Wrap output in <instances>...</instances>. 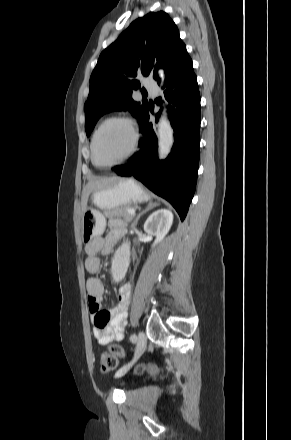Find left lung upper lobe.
Wrapping results in <instances>:
<instances>
[{"instance_id":"1","label":"left lung upper lobe","mask_w":291,"mask_h":440,"mask_svg":"<svg viewBox=\"0 0 291 440\" xmlns=\"http://www.w3.org/2000/svg\"><path fill=\"white\" fill-rule=\"evenodd\" d=\"M186 52L178 28L167 13L150 12L133 21L100 54L91 74L84 105L87 136L97 120L113 109H129L142 123L149 105L146 100L141 103L132 99L134 91H143L136 76L153 74L160 82L157 70L163 68L167 74Z\"/></svg>"}]
</instances>
